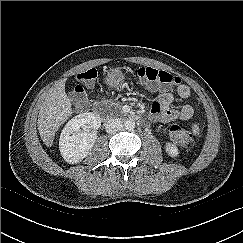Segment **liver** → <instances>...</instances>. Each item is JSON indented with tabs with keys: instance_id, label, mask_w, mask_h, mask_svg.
<instances>
[{
	"instance_id": "obj_1",
	"label": "liver",
	"mask_w": 243,
	"mask_h": 243,
	"mask_svg": "<svg viewBox=\"0 0 243 243\" xmlns=\"http://www.w3.org/2000/svg\"><path fill=\"white\" fill-rule=\"evenodd\" d=\"M72 114V105L60 81L47 93L38 115V131L43 143L50 147L57 130Z\"/></svg>"
}]
</instances>
